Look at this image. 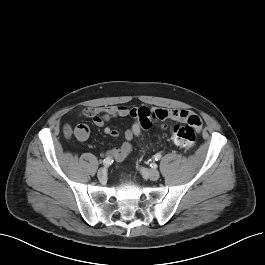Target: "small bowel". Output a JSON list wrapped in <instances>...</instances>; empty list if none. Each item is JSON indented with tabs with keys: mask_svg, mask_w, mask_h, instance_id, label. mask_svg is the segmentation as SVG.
<instances>
[{
	"mask_svg": "<svg viewBox=\"0 0 265 265\" xmlns=\"http://www.w3.org/2000/svg\"><path fill=\"white\" fill-rule=\"evenodd\" d=\"M160 111V119H172L181 122L191 123V118L196 119L195 126L201 129L202 123L200 118L191 110L187 109H167V110H149L145 107L129 108L126 106L108 105L95 108H84L80 115L82 117L92 118L94 124L103 127L105 134L112 137L119 135V129L116 127L105 126V123L114 117L130 116L134 119L130 128L123 132L125 142L120 147H115L106 152V156L117 161L124 160L133 150L131 141L141 135L143 130H148L151 126V113ZM75 137L83 142L89 137L90 130L85 124H78L75 127Z\"/></svg>",
	"mask_w": 265,
	"mask_h": 265,
	"instance_id": "small-bowel-1",
	"label": "small bowel"
}]
</instances>
